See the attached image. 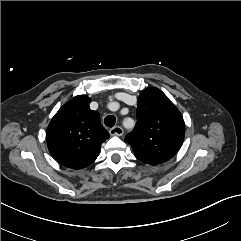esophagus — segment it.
Segmentation results:
<instances>
[{
    "label": "esophagus",
    "instance_id": "1",
    "mask_svg": "<svg viewBox=\"0 0 241 241\" xmlns=\"http://www.w3.org/2000/svg\"><path fill=\"white\" fill-rule=\"evenodd\" d=\"M123 128L122 127H120V126H115V127H113V128H111L110 129V131H109V133H110V135H115V136H121V135H123Z\"/></svg>",
    "mask_w": 241,
    "mask_h": 241
}]
</instances>
